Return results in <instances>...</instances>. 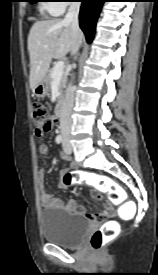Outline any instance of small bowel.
Here are the masks:
<instances>
[{
    "mask_svg": "<svg viewBox=\"0 0 158 275\" xmlns=\"http://www.w3.org/2000/svg\"><path fill=\"white\" fill-rule=\"evenodd\" d=\"M39 151L41 154H47L48 147L42 144L39 146ZM61 158L66 161H70L71 162L70 167L75 168V163L71 161L70 157L66 156L65 154H61ZM66 173L67 172L65 170L61 172L60 180H59L60 185H63L62 179ZM45 180H46V171L42 169L38 174V181H39L40 200L44 207H63L64 206L65 209H67L68 211L83 213L89 219H94V214L87 212L86 208L82 205H79L75 200L71 199L64 205L60 199L50 194L46 189Z\"/></svg>",
    "mask_w": 158,
    "mask_h": 275,
    "instance_id": "obj_1",
    "label": "small bowel"
}]
</instances>
